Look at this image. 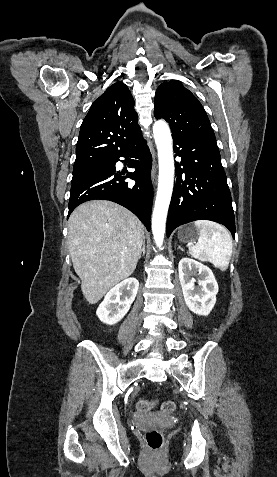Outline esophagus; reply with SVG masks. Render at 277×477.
Here are the masks:
<instances>
[{"instance_id":"obj_1","label":"esophagus","mask_w":277,"mask_h":477,"mask_svg":"<svg viewBox=\"0 0 277 477\" xmlns=\"http://www.w3.org/2000/svg\"><path fill=\"white\" fill-rule=\"evenodd\" d=\"M154 176H155V168H153V169H152V172H151L152 180H154Z\"/></svg>"}]
</instances>
